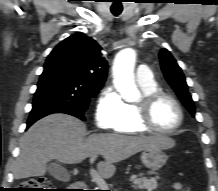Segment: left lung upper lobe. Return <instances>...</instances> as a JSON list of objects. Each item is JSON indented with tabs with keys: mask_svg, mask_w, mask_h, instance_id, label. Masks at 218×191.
Segmentation results:
<instances>
[{
	"mask_svg": "<svg viewBox=\"0 0 218 191\" xmlns=\"http://www.w3.org/2000/svg\"><path fill=\"white\" fill-rule=\"evenodd\" d=\"M161 69L165 75L167 82L174 89L178 97L189 112L194 116L195 106L192 97L188 91V86L185 81V77L178 66L176 60L171 53L163 49L159 53Z\"/></svg>",
	"mask_w": 218,
	"mask_h": 191,
	"instance_id": "1",
	"label": "left lung upper lobe"
}]
</instances>
